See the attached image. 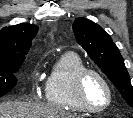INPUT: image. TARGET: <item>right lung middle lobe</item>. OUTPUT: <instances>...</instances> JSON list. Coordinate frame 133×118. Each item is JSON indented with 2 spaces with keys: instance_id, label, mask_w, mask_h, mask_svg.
Returning <instances> with one entry per match:
<instances>
[{
  "instance_id": "1",
  "label": "right lung middle lobe",
  "mask_w": 133,
  "mask_h": 118,
  "mask_svg": "<svg viewBox=\"0 0 133 118\" xmlns=\"http://www.w3.org/2000/svg\"><path fill=\"white\" fill-rule=\"evenodd\" d=\"M22 62L0 64V97L8 93L17 84L14 73L19 70Z\"/></svg>"
}]
</instances>
